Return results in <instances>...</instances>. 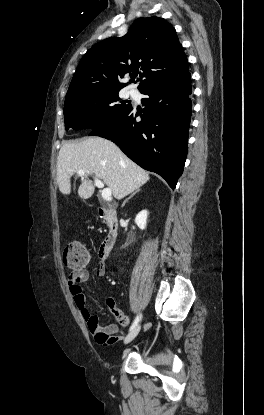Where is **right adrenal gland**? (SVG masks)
Here are the masks:
<instances>
[{
  "label": "right adrenal gland",
  "instance_id": "right-adrenal-gland-1",
  "mask_svg": "<svg viewBox=\"0 0 264 415\" xmlns=\"http://www.w3.org/2000/svg\"><path fill=\"white\" fill-rule=\"evenodd\" d=\"M140 191V189H138V190H136L135 192H133L125 201H124V203H123V205L122 206H124L125 204H126V202L130 199V198H132L137 192H139Z\"/></svg>",
  "mask_w": 264,
  "mask_h": 415
}]
</instances>
